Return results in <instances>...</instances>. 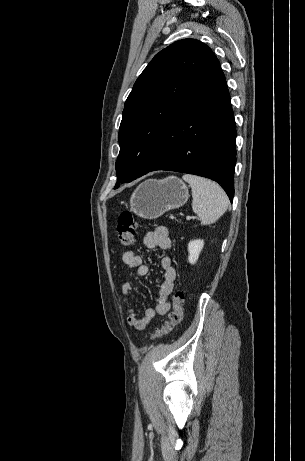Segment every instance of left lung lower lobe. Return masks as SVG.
I'll use <instances>...</instances> for the list:
<instances>
[{"mask_svg":"<svg viewBox=\"0 0 305 461\" xmlns=\"http://www.w3.org/2000/svg\"><path fill=\"white\" fill-rule=\"evenodd\" d=\"M235 139L230 95L216 60L168 122L148 172L169 170L210 178L221 184L232 202Z\"/></svg>","mask_w":305,"mask_h":461,"instance_id":"1","label":"left lung lower lobe"}]
</instances>
